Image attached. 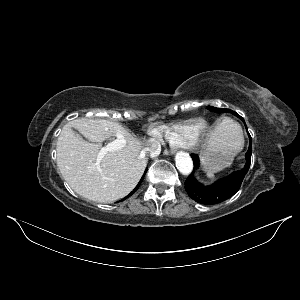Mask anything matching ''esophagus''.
Masks as SVG:
<instances>
[{"mask_svg": "<svg viewBox=\"0 0 300 300\" xmlns=\"http://www.w3.org/2000/svg\"><path fill=\"white\" fill-rule=\"evenodd\" d=\"M164 153H165V155H172L175 153V151L172 149H166Z\"/></svg>", "mask_w": 300, "mask_h": 300, "instance_id": "obj_1", "label": "esophagus"}]
</instances>
